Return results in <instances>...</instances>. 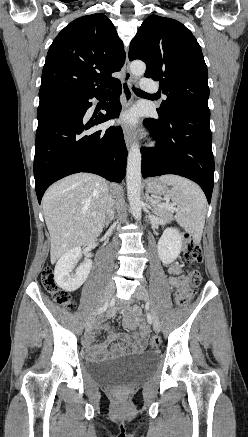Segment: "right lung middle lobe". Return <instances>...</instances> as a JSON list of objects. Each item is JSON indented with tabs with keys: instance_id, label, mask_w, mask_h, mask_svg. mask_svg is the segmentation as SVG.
I'll return each instance as SVG.
<instances>
[{
	"instance_id": "1",
	"label": "right lung middle lobe",
	"mask_w": 248,
	"mask_h": 437,
	"mask_svg": "<svg viewBox=\"0 0 248 437\" xmlns=\"http://www.w3.org/2000/svg\"><path fill=\"white\" fill-rule=\"evenodd\" d=\"M71 95H73V94L66 93V92H60V91H51V92L45 93L43 95H39V97L41 99V98L50 97V96H71Z\"/></svg>"
}]
</instances>
